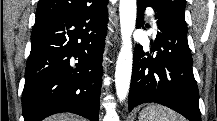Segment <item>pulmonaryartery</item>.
<instances>
[{
	"label": "pulmonary artery",
	"mask_w": 217,
	"mask_h": 121,
	"mask_svg": "<svg viewBox=\"0 0 217 121\" xmlns=\"http://www.w3.org/2000/svg\"><path fill=\"white\" fill-rule=\"evenodd\" d=\"M152 24H153V31L156 33L157 32V22L155 18L152 19Z\"/></svg>",
	"instance_id": "obj_1"
}]
</instances>
